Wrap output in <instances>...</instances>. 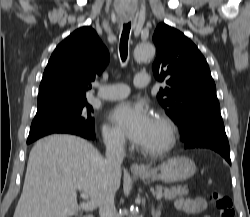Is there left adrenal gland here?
I'll return each instance as SVG.
<instances>
[{"instance_id": "1", "label": "left adrenal gland", "mask_w": 250, "mask_h": 217, "mask_svg": "<svg viewBox=\"0 0 250 217\" xmlns=\"http://www.w3.org/2000/svg\"><path fill=\"white\" fill-rule=\"evenodd\" d=\"M161 215V205L159 206V208L157 210H155V208H152V216L153 217H160Z\"/></svg>"}]
</instances>
